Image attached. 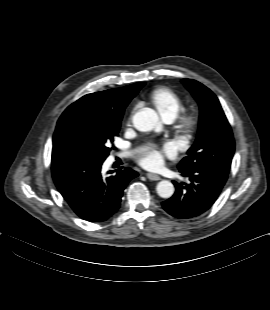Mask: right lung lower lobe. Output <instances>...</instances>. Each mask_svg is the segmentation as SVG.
I'll return each instance as SVG.
<instances>
[{
	"mask_svg": "<svg viewBox=\"0 0 270 310\" xmlns=\"http://www.w3.org/2000/svg\"><path fill=\"white\" fill-rule=\"evenodd\" d=\"M102 163L68 158L51 164L55 185L65 201L76 215L90 222L111 218L120 207L125 187L138 176L130 168H119L115 175L103 177Z\"/></svg>",
	"mask_w": 270,
	"mask_h": 310,
	"instance_id": "98d812e1",
	"label": "right lung lower lobe"
}]
</instances>
